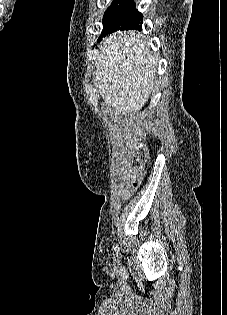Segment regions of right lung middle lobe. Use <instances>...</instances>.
<instances>
[{
    "label": "right lung middle lobe",
    "instance_id": "obj_1",
    "mask_svg": "<svg viewBox=\"0 0 227 315\" xmlns=\"http://www.w3.org/2000/svg\"><path fill=\"white\" fill-rule=\"evenodd\" d=\"M142 20L133 0H114L104 13L102 36L116 30H141Z\"/></svg>",
    "mask_w": 227,
    "mask_h": 315
}]
</instances>
